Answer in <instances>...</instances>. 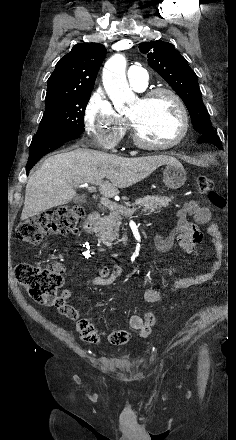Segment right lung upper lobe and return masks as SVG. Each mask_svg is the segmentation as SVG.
<instances>
[{
	"label": "right lung upper lobe",
	"instance_id": "cb5924a9",
	"mask_svg": "<svg viewBox=\"0 0 236 440\" xmlns=\"http://www.w3.org/2000/svg\"><path fill=\"white\" fill-rule=\"evenodd\" d=\"M106 55L100 44H76L55 67L47 83L46 102L70 99L91 93Z\"/></svg>",
	"mask_w": 236,
	"mask_h": 440
}]
</instances>
